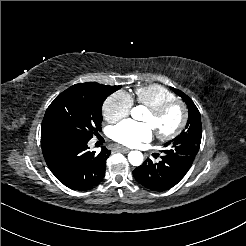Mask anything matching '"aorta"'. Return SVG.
Masks as SVG:
<instances>
[{"instance_id":"762f6f07","label":"aorta","mask_w":246,"mask_h":246,"mask_svg":"<svg viewBox=\"0 0 246 246\" xmlns=\"http://www.w3.org/2000/svg\"><path fill=\"white\" fill-rule=\"evenodd\" d=\"M140 106L134 107L131 110V116L134 119H138L140 114ZM128 160L131 165L133 166H140L143 163V154L140 151H131L128 154Z\"/></svg>"}]
</instances>
